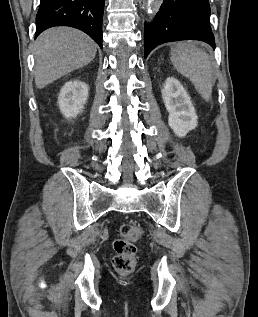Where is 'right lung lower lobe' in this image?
<instances>
[{
  "instance_id": "98d812e1",
  "label": "right lung lower lobe",
  "mask_w": 258,
  "mask_h": 317,
  "mask_svg": "<svg viewBox=\"0 0 258 317\" xmlns=\"http://www.w3.org/2000/svg\"><path fill=\"white\" fill-rule=\"evenodd\" d=\"M105 0H41L36 16L37 37L53 26H70L88 34L102 48Z\"/></svg>"
}]
</instances>
